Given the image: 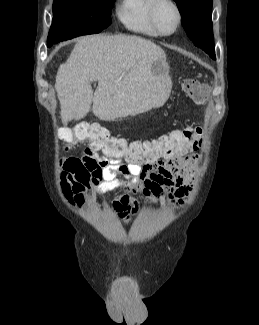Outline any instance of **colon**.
<instances>
[{"label": "colon", "instance_id": "5ec220e1", "mask_svg": "<svg viewBox=\"0 0 259 325\" xmlns=\"http://www.w3.org/2000/svg\"><path fill=\"white\" fill-rule=\"evenodd\" d=\"M183 91L194 102L204 104L209 97L208 87L195 79H186L182 84ZM202 125L194 128L173 131L159 138L146 141H132L112 136L104 127L97 124H78L73 128L64 129L60 139L66 144L76 141L88 142L90 148L102 151L109 157L126 159L133 163H140L154 159L161 154L175 149H198L203 141ZM77 162L79 159L74 158Z\"/></svg>", "mask_w": 259, "mask_h": 325}]
</instances>
